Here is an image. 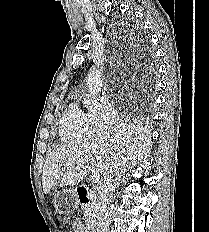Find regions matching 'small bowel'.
Wrapping results in <instances>:
<instances>
[{"label": "small bowel", "instance_id": "obj_1", "mask_svg": "<svg viewBox=\"0 0 209 232\" xmlns=\"http://www.w3.org/2000/svg\"><path fill=\"white\" fill-rule=\"evenodd\" d=\"M73 232H86L83 223L79 220L72 223Z\"/></svg>", "mask_w": 209, "mask_h": 232}]
</instances>
